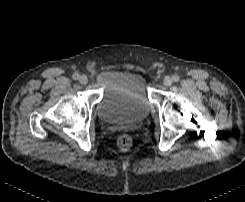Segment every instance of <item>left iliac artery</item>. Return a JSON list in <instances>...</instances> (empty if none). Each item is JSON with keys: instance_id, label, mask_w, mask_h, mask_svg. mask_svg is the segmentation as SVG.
Listing matches in <instances>:
<instances>
[{"instance_id": "44dca946", "label": "left iliac artery", "mask_w": 245, "mask_h": 202, "mask_svg": "<svg viewBox=\"0 0 245 202\" xmlns=\"http://www.w3.org/2000/svg\"><path fill=\"white\" fill-rule=\"evenodd\" d=\"M172 79H173L174 82H178L179 81V76L178 75H174L172 77Z\"/></svg>"}]
</instances>
